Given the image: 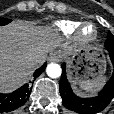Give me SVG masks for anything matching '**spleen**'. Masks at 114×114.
Wrapping results in <instances>:
<instances>
[{
	"label": "spleen",
	"mask_w": 114,
	"mask_h": 114,
	"mask_svg": "<svg viewBox=\"0 0 114 114\" xmlns=\"http://www.w3.org/2000/svg\"><path fill=\"white\" fill-rule=\"evenodd\" d=\"M107 78L101 77L96 80H87L81 84V89L84 90L86 93L95 94L99 91L102 86L105 84Z\"/></svg>",
	"instance_id": "1"
}]
</instances>
